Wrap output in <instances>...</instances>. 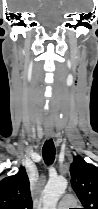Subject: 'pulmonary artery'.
I'll return each mask as SVG.
<instances>
[{
	"label": "pulmonary artery",
	"instance_id": "1",
	"mask_svg": "<svg viewBox=\"0 0 98 209\" xmlns=\"http://www.w3.org/2000/svg\"><path fill=\"white\" fill-rule=\"evenodd\" d=\"M76 199L73 195L67 194L65 195L61 201L59 202L57 209H70L75 207Z\"/></svg>",
	"mask_w": 98,
	"mask_h": 209
}]
</instances>
